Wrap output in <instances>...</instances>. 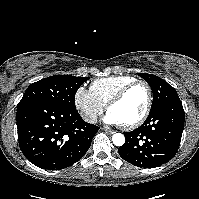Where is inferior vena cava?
<instances>
[{
	"label": "inferior vena cava",
	"mask_w": 199,
	"mask_h": 199,
	"mask_svg": "<svg viewBox=\"0 0 199 199\" xmlns=\"http://www.w3.org/2000/svg\"><path fill=\"white\" fill-rule=\"evenodd\" d=\"M83 120L85 122L94 124L97 122V115L96 113H93V112H86L83 114Z\"/></svg>",
	"instance_id": "1"
}]
</instances>
